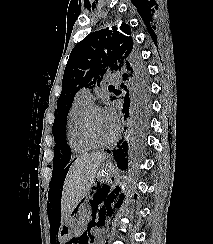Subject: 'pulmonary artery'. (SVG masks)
<instances>
[{
    "mask_svg": "<svg viewBox=\"0 0 213 244\" xmlns=\"http://www.w3.org/2000/svg\"><path fill=\"white\" fill-rule=\"evenodd\" d=\"M106 80L109 81V82H111V83H114V82H117L118 78H117V76L115 74H113V75H108L106 77ZM78 95L81 98L85 99V100H88L90 102L92 101V94H91V92L88 89H82V90H80V92L78 93Z\"/></svg>",
    "mask_w": 213,
    "mask_h": 244,
    "instance_id": "pulmonary-artery-1",
    "label": "pulmonary artery"
}]
</instances>
